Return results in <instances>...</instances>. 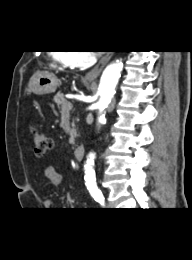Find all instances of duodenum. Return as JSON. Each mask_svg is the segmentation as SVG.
Here are the masks:
<instances>
[{"mask_svg": "<svg viewBox=\"0 0 192 260\" xmlns=\"http://www.w3.org/2000/svg\"><path fill=\"white\" fill-rule=\"evenodd\" d=\"M85 154V146L84 145H78L74 149V157L77 160H82Z\"/></svg>", "mask_w": 192, "mask_h": 260, "instance_id": "1", "label": "duodenum"}]
</instances>
